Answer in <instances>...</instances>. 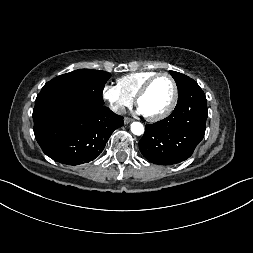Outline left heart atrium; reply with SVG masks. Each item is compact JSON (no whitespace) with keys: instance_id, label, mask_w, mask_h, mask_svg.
Segmentation results:
<instances>
[{"instance_id":"39dd6f15","label":"left heart atrium","mask_w":253,"mask_h":253,"mask_svg":"<svg viewBox=\"0 0 253 253\" xmlns=\"http://www.w3.org/2000/svg\"><path fill=\"white\" fill-rule=\"evenodd\" d=\"M138 113L143 114V112L138 108Z\"/></svg>"}]
</instances>
